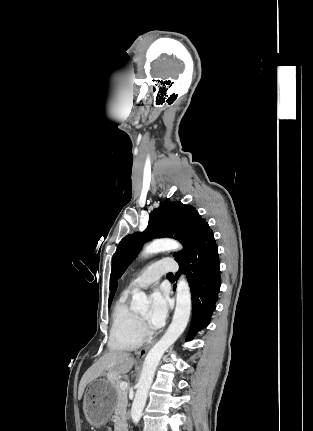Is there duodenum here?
Here are the masks:
<instances>
[{
	"label": "duodenum",
	"instance_id": "obj_1",
	"mask_svg": "<svg viewBox=\"0 0 313 431\" xmlns=\"http://www.w3.org/2000/svg\"><path fill=\"white\" fill-rule=\"evenodd\" d=\"M117 431H128L127 426L125 424H120L118 426Z\"/></svg>",
	"mask_w": 313,
	"mask_h": 431
}]
</instances>
